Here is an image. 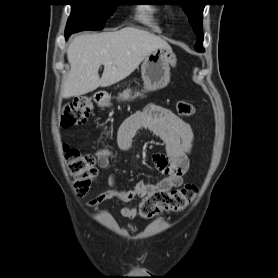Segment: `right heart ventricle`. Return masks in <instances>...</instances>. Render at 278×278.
Segmentation results:
<instances>
[{"label":"right heart ventricle","mask_w":278,"mask_h":278,"mask_svg":"<svg viewBox=\"0 0 278 278\" xmlns=\"http://www.w3.org/2000/svg\"><path fill=\"white\" fill-rule=\"evenodd\" d=\"M163 11L152 5H141L137 8V19L154 31L161 30Z\"/></svg>","instance_id":"obj_1"}]
</instances>
